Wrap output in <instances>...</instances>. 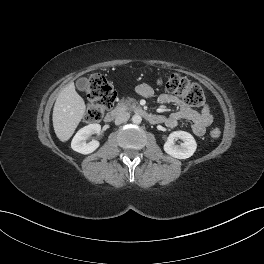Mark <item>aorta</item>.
Masks as SVG:
<instances>
[{
	"label": "aorta",
	"mask_w": 264,
	"mask_h": 264,
	"mask_svg": "<svg viewBox=\"0 0 264 264\" xmlns=\"http://www.w3.org/2000/svg\"><path fill=\"white\" fill-rule=\"evenodd\" d=\"M132 122H133L134 124H140V123L142 122V118H141V116H140L139 114H135V115H133V117H132Z\"/></svg>",
	"instance_id": "aorta-1"
}]
</instances>
